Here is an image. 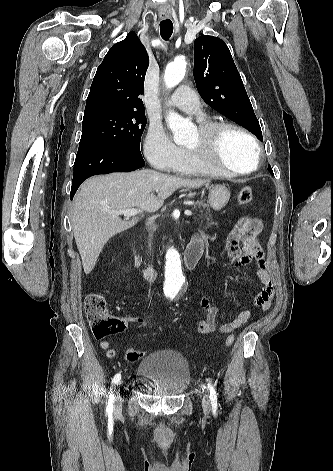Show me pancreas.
<instances>
[{"label":"pancreas","mask_w":333,"mask_h":471,"mask_svg":"<svg viewBox=\"0 0 333 471\" xmlns=\"http://www.w3.org/2000/svg\"><path fill=\"white\" fill-rule=\"evenodd\" d=\"M197 207L200 209V213H202V214L199 218H195V220L198 221L200 218H202V219L205 218L206 219V224L204 226L205 229L211 227L212 225H214V221H213L212 215L210 214V210L206 209L205 214H203V211L201 210V207H203L205 209V208H207V205L204 204V203L195 204L194 209H196ZM199 225L202 226V222H200Z\"/></svg>","instance_id":"cf45deb5"}]
</instances>
